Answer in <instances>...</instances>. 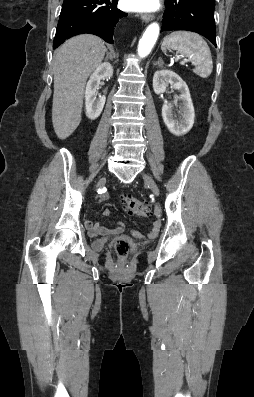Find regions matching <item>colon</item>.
<instances>
[{
  "label": "colon",
  "mask_w": 254,
  "mask_h": 397,
  "mask_svg": "<svg viewBox=\"0 0 254 397\" xmlns=\"http://www.w3.org/2000/svg\"><path fill=\"white\" fill-rule=\"evenodd\" d=\"M121 200L131 214L140 217L150 216L151 208L146 202L138 200L126 193L121 194ZM114 247L116 253L121 257H126L129 253V244L125 239L116 240Z\"/></svg>",
  "instance_id": "1"
}]
</instances>
